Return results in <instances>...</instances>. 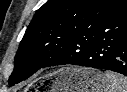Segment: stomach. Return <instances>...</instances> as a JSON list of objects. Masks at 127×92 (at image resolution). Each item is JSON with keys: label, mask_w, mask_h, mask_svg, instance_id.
I'll list each match as a JSON object with an SVG mask.
<instances>
[{"label": "stomach", "mask_w": 127, "mask_h": 92, "mask_svg": "<svg viewBox=\"0 0 127 92\" xmlns=\"http://www.w3.org/2000/svg\"><path fill=\"white\" fill-rule=\"evenodd\" d=\"M48 92H107L110 83L93 68L68 66L47 76Z\"/></svg>", "instance_id": "obj_1"}]
</instances>
